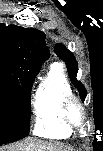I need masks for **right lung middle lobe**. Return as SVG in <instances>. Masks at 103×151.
<instances>
[{"mask_svg":"<svg viewBox=\"0 0 103 151\" xmlns=\"http://www.w3.org/2000/svg\"><path fill=\"white\" fill-rule=\"evenodd\" d=\"M32 84L33 80L13 83L0 76V145L29 134Z\"/></svg>","mask_w":103,"mask_h":151,"instance_id":"1","label":"right lung middle lobe"}]
</instances>
